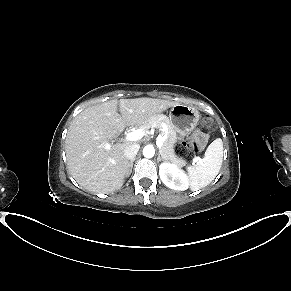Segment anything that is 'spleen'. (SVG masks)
I'll list each match as a JSON object with an SVG mask.
<instances>
[{
  "instance_id": "obj_1",
  "label": "spleen",
  "mask_w": 291,
  "mask_h": 291,
  "mask_svg": "<svg viewBox=\"0 0 291 291\" xmlns=\"http://www.w3.org/2000/svg\"><path fill=\"white\" fill-rule=\"evenodd\" d=\"M223 159V143L215 139L206 149L201 162L188 168L190 185L193 191L209 185L218 175Z\"/></svg>"
}]
</instances>
